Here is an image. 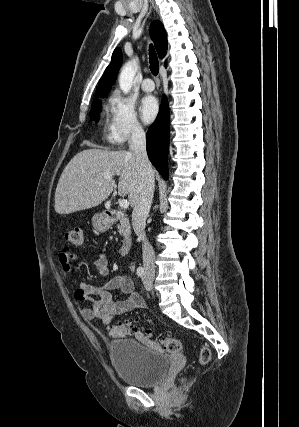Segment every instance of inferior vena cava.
Returning <instances> with one entry per match:
<instances>
[{
	"instance_id": "602c4592",
	"label": "inferior vena cava",
	"mask_w": 299,
	"mask_h": 427,
	"mask_svg": "<svg viewBox=\"0 0 299 427\" xmlns=\"http://www.w3.org/2000/svg\"><path fill=\"white\" fill-rule=\"evenodd\" d=\"M129 148L136 156L139 174V196L132 212V226L138 239L142 241L144 272L154 275V250L145 234L146 218L154 193V172L147 156L145 132L140 126L133 128Z\"/></svg>"
}]
</instances>
